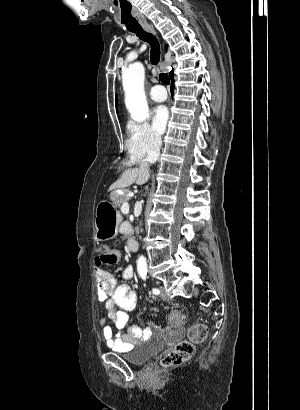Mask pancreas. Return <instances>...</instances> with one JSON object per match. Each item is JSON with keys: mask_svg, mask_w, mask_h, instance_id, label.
<instances>
[{"mask_svg": "<svg viewBox=\"0 0 300 410\" xmlns=\"http://www.w3.org/2000/svg\"><path fill=\"white\" fill-rule=\"evenodd\" d=\"M115 203L118 207H120L124 202L128 201V197L117 194V197L115 198Z\"/></svg>", "mask_w": 300, "mask_h": 410, "instance_id": "pancreas-1", "label": "pancreas"}]
</instances>
